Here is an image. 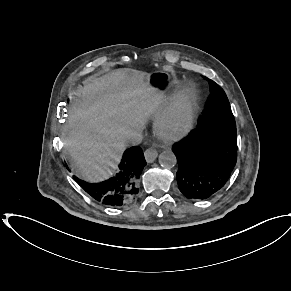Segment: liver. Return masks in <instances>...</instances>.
Returning a JSON list of instances; mask_svg holds the SVG:
<instances>
[{
	"label": "liver",
	"mask_w": 291,
	"mask_h": 291,
	"mask_svg": "<svg viewBox=\"0 0 291 291\" xmlns=\"http://www.w3.org/2000/svg\"><path fill=\"white\" fill-rule=\"evenodd\" d=\"M148 73L122 68L90 78L80 89L65 126V152L76 174L98 182L113 173L125 150V135L144 128L162 102Z\"/></svg>",
	"instance_id": "6515ba94"
}]
</instances>
